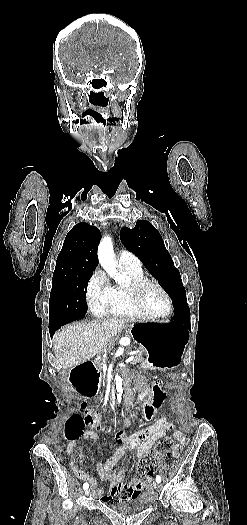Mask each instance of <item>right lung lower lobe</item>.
Listing matches in <instances>:
<instances>
[{
	"mask_svg": "<svg viewBox=\"0 0 247 525\" xmlns=\"http://www.w3.org/2000/svg\"><path fill=\"white\" fill-rule=\"evenodd\" d=\"M60 326H54V327H49V332H50V335L52 336L55 332V330H57Z\"/></svg>",
	"mask_w": 247,
	"mask_h": 525,
	"instance_id": "98d812e1",
	"label": "right lung lower lobe"
}]
</instances>
